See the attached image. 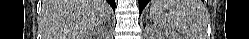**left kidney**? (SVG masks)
I'll list each match as a JSON object with an SVG mask.
<instances>
[{
  "label": "left kidney",
  "mask_w": 249,
  "mask_h": 39,
  "mask_svg": "<svg viewBox=\"0 0 249 39\" xmlns=\"http://www.w3.org/2000/svg\"><path fill=\"white\" fill-rule=\"evenodd\" d=\"M156 37H157V39H172V37H170L169 35H167L163 31H157Z\"/></svg>",
  "instance_id": "obj_1"
}]
</instances>
